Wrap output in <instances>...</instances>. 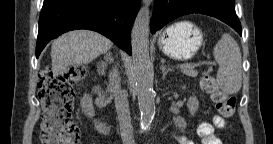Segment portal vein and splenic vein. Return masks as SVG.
<instances>
[{
  "mask_svg": "<svg viewBox=\"0 0 273 144\" xmlns=\"http://www.w3.org/2000/svg\"><path fill=\"white\" fill-rule=\"evenodd\" d=\"M195 66H197V64H185V65H180V68H190L193 69Z\"/></svg>",
  "mask_w": 273,
  "mask_h": 144,
  "instance_id": "portal-vein-and-splenic-vein-1",
  "label": "portal vein and splenic vein"
}]
</instances>
